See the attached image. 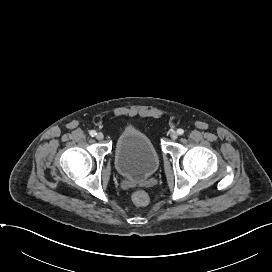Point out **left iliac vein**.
<instances>
[{
  "mask_svg": "<svg viewBox=\"0 0 272 272\" xmlns=\"http://www.w3.org/2000/svg\"><path fill=\"white\" fill-rule=\"evenodd\" d=\"M171 138H172L173 140L177 139V138H178V134H177L176 132H172V133H171Z\"/></svg>",
  "mask_w": 272,
  "mask_h": 272,
  "instance_id": "obj_1",
  "label": "left iliac vein"
}]
</instances>
